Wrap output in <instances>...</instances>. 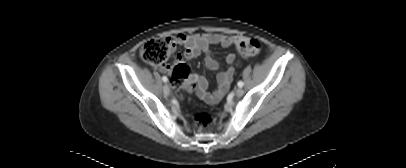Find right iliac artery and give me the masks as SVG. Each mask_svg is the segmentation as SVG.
<instances>
[{
  "label": "right iliac artery",
  "instance_id": "obj_1",
  "mask_svg": "<svg viewBox=\"0 0 406 168\" xmlns=\"http://www.w3.org/2000/svg\"><path fill=\"white\" fill-rule=\"evenodd\" d=\"M162 80H163L164 82H167V81H168V79H167L166 76H163V77H162Z\"/></svg>",
  "mask_w": 406,
  "mask_h": 168
}]
</instances>
